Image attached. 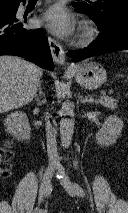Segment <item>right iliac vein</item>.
<instances>
[{"instance_id":"63e3f726","label":"right iliac vein","mask_w":128,"mask_h":213,"mask_svg":"<svg viewBox=\"0 0 128 213\" xmlns=\"http://www.w3.org/2000/svg\"><path fill=\"white\" fill-rule=\"evenodd\" d=\"M54 172H55L54 167H49L46 170L44 177H43V180H42V183H41V188H40L42 196L48 195V191H49L50 186H51V180H52ZM33 213H40L39 208H36Z\"/></svg>"}]
</instances>
